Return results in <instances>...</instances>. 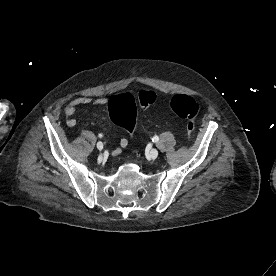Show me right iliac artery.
<instances>
[{"mask_svg": "<svg viewBox=\"0 0 276 276\" xmlns=\"http://www.w3.org/2000/svg\"><path fill=\"white\" fill-rule=\"evenodd\" d=\"M99 137H102V134H99Z\"/></svg>", "mask_w": 276, "mask_h": 276, "instance_id": "obj_1", "label": "right iliac artery"}]
</instances>
